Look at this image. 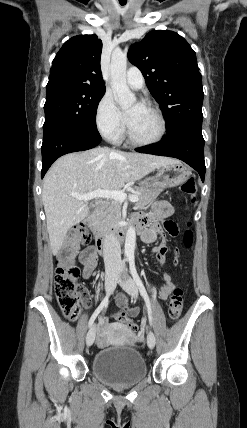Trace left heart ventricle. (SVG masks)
I'll use <instances>...</instances> for the list:
<instances>
[{
  "label": "left heart ventricle",
  "mask_w": 247,
  "mask_h": 428,
  "mask_svg": "<svg viewBox=\"0 0 247 428\" xmlns=\"http://www.w3.org/2000/svg\"><path fill=\"white\" fill-rule=\"evenodd\" d=\"M132 103L126 108V114L133 112L128 126L132 134L141 140H149L157 136L160 123L156 115L144 105Z\"/></svg>",
  "instance_id": "1"
}]
</instances>
